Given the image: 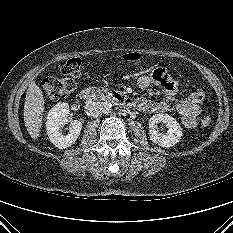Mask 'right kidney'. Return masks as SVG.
Returning <instances> with one entry per match:
<instances>
[{"label": "right kidney", "instance_id": "obj_1", "mask_svg": "<svg viewBox=\"0 0 233 233\" xmlns=\"http://www.w3.org/2000/svg\"><path fill=\"white\" fill-rule=\"evenodd\" d=\"M69 112V105L67 103H58L47 114L46 131L48 137L59 149H65L73 145L81 133L82 123L79 120L71 122L67 135L61 133V127L65 124Z\"/></svg>", "mask_w": 233, "mask_h": 233}]
</instances>
